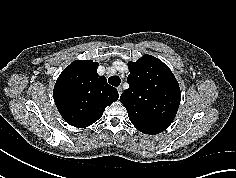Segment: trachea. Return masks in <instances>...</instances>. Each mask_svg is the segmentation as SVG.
<instances>
[{"mask_svg":"<svg viewBox=\"0 0 236 178\" xmlns=\"http://www.w3.org/2000/svg\"><path fill=\"white\" fill-rule=\"evenodd\" d=\"M108 82H109V84H111L112 86L117 87V86L120 85L121 79H120L119 76L114 75V76L109 77Z\"/></svg>","mask_w":236,"mask_h":178,"instance_id":"trachea-1","label":"trachea"}]
</instances>
